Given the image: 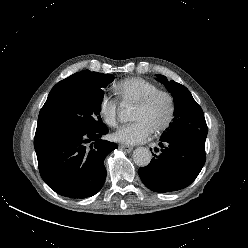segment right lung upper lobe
Segmentation results:
<instances>
[{"label":"right lung upper lobe","mask_w":248,"mask_h":248,"mask_svg":"<svg viewBox=\"0 0 248 248\" xmlns=\"http://www.w3.org/2000/svg\"><path fill=\"white\" fill-rule=\"evenodd\" d=\"M81 72H77L68 78L58 82L51 90L47 100H50L54 97H57L63 93H65L67 90L71 89L74 85H76L77 81L79 80V77L82 75Z\"/></svg>","instance_id":"obj_1"}]
</instances>
